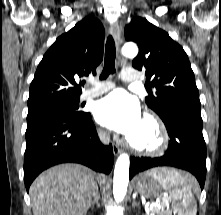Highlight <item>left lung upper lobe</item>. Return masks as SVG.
<instances>
[{
    "mask_svg": "<svg viewBox=\"0 0 221 215\" xmlns=\"http://www.w3.org/2000/svg\"><path fill=\"white\" fill-rule=\"evenodd\" d=\"M124 33L127 41L139 47L132 66L145 69L147 83L157 90L145 98L147 105L160 117L173 104L201 110L194 73L183 48L145 18L135 17Z\"/></svg>",
    "mask_w": 221,
    "mask_h": 215,
    "instance_id": "5c2ea615",
    "label": "left lung upper lobe"
}]
</instances>
